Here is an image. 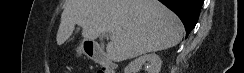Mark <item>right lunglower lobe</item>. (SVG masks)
Masks as SVG:
<instances>
[{
    "label": "right lung lower lobe",
    "instance_id": "98d812e1",
    "mask_svg": "<svg viewBox=\"0 0 244 73\" xmlns=\"http://www.w3.org/2000/svg\"><path fill=\"white\" fill-rule=\"evenodd\" d=\"M171 9L183 22L186 36L195 27L203 0H159Z\"/></svg>",
    "mask_w": 244,
    "mask_h": 73
}]
</instances>
